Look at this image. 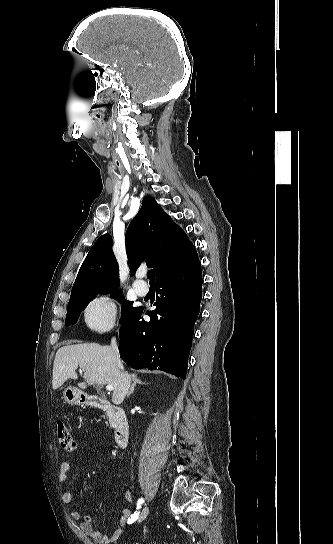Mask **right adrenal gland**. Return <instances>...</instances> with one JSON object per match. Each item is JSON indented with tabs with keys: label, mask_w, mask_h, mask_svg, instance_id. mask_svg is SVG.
Segmentation results:
<instances>
[{
	"label": "right adrenal gland",
	"mask_w": 333,
	"mask_h": 544,
	"mask_svg": "<svg viewBox=\"0 0 333 544\" xmlns=\"http://www.w3.org/2000/svg\"><path fill=\"white\" fill-rule=\"evenodd\" d=\"M132 381H133V384H132V386L130 387V390H129V392L127 393V396H129L130 394H132V393L134 392V388H135V386H136L137 384H141V385H142V384H147L146 382H143V381H141L139 378H137L136 375H133V376H132Z\"/></svg>",
	"instance_id": "obj_1"
}]
</instances>
